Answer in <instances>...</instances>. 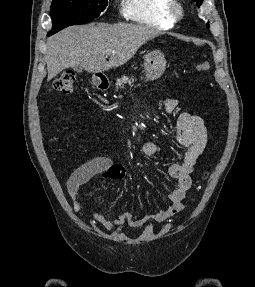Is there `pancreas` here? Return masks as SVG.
I'll return each mask as SVG.
<instances>
[{
	"label": "pancreas",
	"instance_id": "cf45deb5",
	"mask_svg": "<svg viewBox=\"0 0 255 287\" xmlns=\"http://www.w3.org/2000/svg\"><path fill=\"white\" fill-rule=\"evenodd\" d=\"M134 82V78L133 76H131V78H128V76H122V78H119V80H116V90L118 92V90H120V88H125V84H129V86H131V84H133Z\"/></svg>",
	"mask_w": 255,
	"mask_h": 287
}]
</instances>
